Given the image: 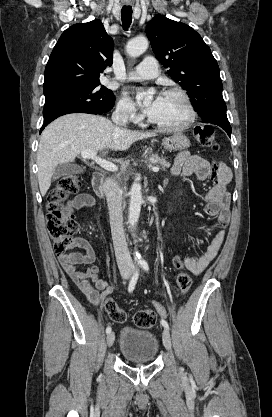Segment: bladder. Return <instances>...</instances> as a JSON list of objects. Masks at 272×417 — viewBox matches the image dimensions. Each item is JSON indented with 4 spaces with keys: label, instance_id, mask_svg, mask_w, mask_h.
<instances>
[{
    "label": "bladder",
    "instance_id": "bladder-1",
    "mask_svg": "<svg viewBox=\"0 0 272 417\" xmlns=\"http://www.w3.org/2000/svg\"><path fill=\"white\" fill-rule=\"evenodd\" d=\"M120 352L131 363L152 362L159 351V342L149 331L125 327L120 336Z\"/></svg>",
    "mask_w": 272,
    "mask_h": 417
}]
</instances>
